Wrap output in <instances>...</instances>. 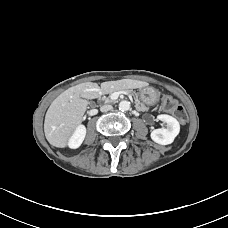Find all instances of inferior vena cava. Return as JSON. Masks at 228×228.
Here are the masks:
<instances>
[{
    "label": "inferior vena cava",
    "mask_w": 228,
    "mask_h": 228,
    "mask_svg": "<svg viewBox=\"0 0 228 228\" xmlns=\"http://www.w3.org/2000/svg\"><path fill=\"white\" fill-rule=\"evenodd\" d=\"M113 109L112 105L106 104L100 107L101 112L111 111Z\"/></svg>",
    "instance_id": "obj_1"
}]
</instances>
